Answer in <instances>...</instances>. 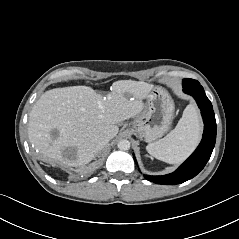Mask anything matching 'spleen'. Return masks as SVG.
Instances as JSON below:
<instances>
[{
	"instance_id": "1",
	"label": "spleen",
	"mask_w": 239,
	"mask_h": 239,
	"mask_svg": "<svg viewBox=\"0 0 239 239\" xmlns=\"http://www.w3.org/2000/svg\"><path fill=\"white\" fill-rule=\"evenodd\" d=\"M201 137V124L197 109L188 105L176 127L164 138L149 143L147 152L169 164L184 161L195 149Z\"/></svg>"
}]
</instances>
